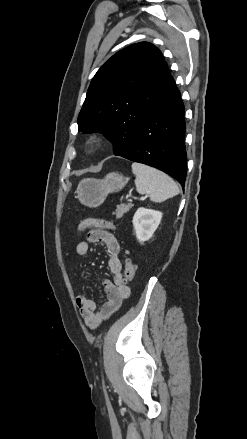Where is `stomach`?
I'll use <instances>...</instances> for the list:
<instances>
[{
	"label": "stomach",
	"instance_id": "stomach-1",
	"mask_svg": "<svg viewBox=\"0 0 247 439\" xmlns=\"http://www.w3.org/2000/svg\"><path fill=\"white\" fill-rule=\"evenodd\" d=\"M128 178L118 172L107 174L103 179L86 178L79 182L76 198L85 206H100L110 193L122 190Z\"/></svg>",
	"mask_w": 247,
	"mask_h": 439
}]
</instances>
